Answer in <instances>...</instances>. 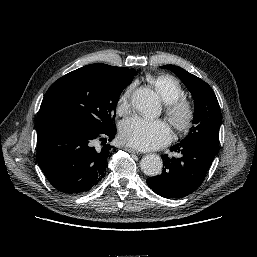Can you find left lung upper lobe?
Here are the masks:
<instances>
[{"label":"left lung upper lobe","mask_w":257,"mask_h":257,"mask_svg":"<svg viewBox=\"0 0 257 257\" xmlns=\"http://www.w3.org/2000/svg\"><path fill=\"white\" fill-rule=\"evenodd\" d=\"M162 67L168 68L178 75L194 99V125L181 142L199 141L218 147L222 117L218 100L211 87L202 79L178 66L166 65Z\"/></svg>","instance_id":"1"}]
</instances>
